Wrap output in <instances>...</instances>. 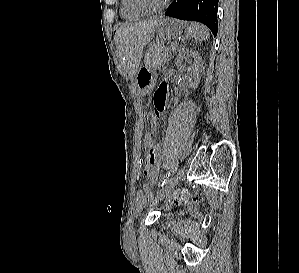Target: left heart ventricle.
<instances>
[{
	"label": "left heart ventricle",
	"mask_w": 299,
	"mask_h": 273,
	"mask_svg": "<svg viewBox=\"0 0 299 273\" xmlns=\"http://www.w3.org/2000/svg\"><path fill=\"white\" fill-rule=\"evenodd\" d=\"M143 1L149 7H157L163 2V0H143Z\"/></svg>",
	"instance_id": "left-heart-ventricle-1"
}]
</instances>
